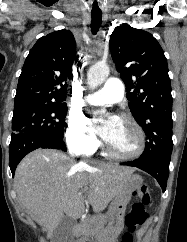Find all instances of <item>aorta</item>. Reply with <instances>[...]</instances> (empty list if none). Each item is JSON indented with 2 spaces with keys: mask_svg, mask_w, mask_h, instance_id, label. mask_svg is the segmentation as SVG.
<instances>
[{
  "mask_svg": "<svg viewBox=\"0 0 187 242\" xmlns=\"http://www.w3.org/2000/svg\"><path fill=\"white\" fill-rule=\"evenodd\" d=\"M109 73V67L105 63H96L91 66L87 72V83L89 88L95 89L97 86L101 85L109 76ZM100 112L105 113L106 110L103 108Z\"/></svg>",
  "mask_w": 187,
  "mask_h": 242,
  "instance_id": "762f6f07",
  "label": "aorta"
}]
</instances>
